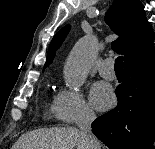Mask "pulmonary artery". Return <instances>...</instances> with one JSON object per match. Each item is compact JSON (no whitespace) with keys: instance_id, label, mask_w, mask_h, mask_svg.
Instances as JSON below:
<instances>
[{"instance_id":"pulmonary-artery-1","label":"pulmonary artery","mask_w":155,"mask_h":149,"mask_svg":"<svg viewBox=\"0 0 155 149\" xmlns=\"http://www.w3.org/2000/svg\"><path fill=\"white\" fill-rule=\"evenodd\" d=\"M113 60L112 59H106L98 66V71L101 76H103L106 79H114L115 78V72L113 69Z\"/></svg>"}]
</instances>
